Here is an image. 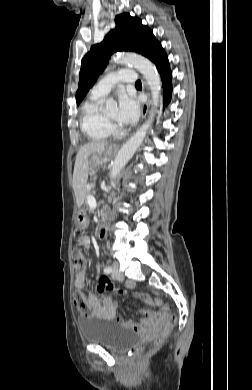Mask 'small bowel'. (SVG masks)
Masks as SVG:
<instances>
[{"mask_svg":"<svg viewBox=\"0 0 252 390\" xmlns=\"http://www.w3.org/2000/svg\"><path fill=\"white\" fill-rule=\"evenodd\" d=\"M80 244L89 248L90 239L88 236H82L79 240ZM88 286L86 271L75 275L74 287L77 290L85 289ZM111 289V283L106 277H101L97 290L102 293L100 298H97L94 294H87V303L90 306L94 316L102 318L104 320H111L125 328L132 329L139 334L150 337L159 332L162 327L164 314L153 309H146L142 312V316L137 320H124L116 314V304L113 302V298L108 292ZM149 306L152 305L150 298L145 301ZM160 305V302L157 303Z\"/></svg>","mask_w":252,"mask_h":390,"instance_id":"small-bowel-1","label":"small bowel"}]
</instances>
